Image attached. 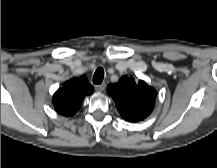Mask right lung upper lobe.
Returning <instances> with one entry per match:
<instances>
[{
  "label": "right lung upper lobe",
  "mask_w": 217,
  "mask_h": 168,
  "mask_svg": "<svg viewBox=\"0 0 217 168\" xmlns=\"http://www.w3.org/2000/svg\"><path fill=\"white\" fill-rule=\"evenodd\" d=\"M93 93V88L84 76L66 81L53 96L55 110L64 116H73L80 108L85 95Z\"/></svg>",
  "instance_id": "cb5924a9"
}]
</instances>
